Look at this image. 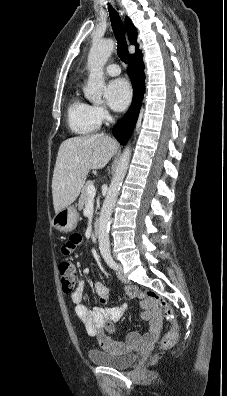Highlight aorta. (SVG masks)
Listing matches in <instances>:
<instances>
[{
  "label": "aorta",
  "mask_w": 227,
  "mask_h": 396,
  "mask_svg": "<svg viewBox=\"0 0 227 396\" xmlns=\"http://www.w3.org/2000/svg\"><path fill=\"white\" fill-rule=\"evenodd\" d=\"M114 49L112 39L94 41L88 55L87 66L89 77L87 87L84 89L85 97L95 103L102 101V91L105 85L103 68ZM131 157V148L124 149L112 177L107 195L105 197L99 218V247L101 252H109L110 218L117 201V197L126 175Z\"/></svg>",
  "instance_id": "obj_1"
}]
</instances>
